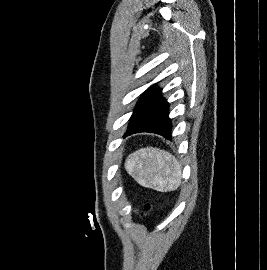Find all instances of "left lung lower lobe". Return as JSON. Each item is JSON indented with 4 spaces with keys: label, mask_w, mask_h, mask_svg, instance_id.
Here are the masks:
<instances>
[{
    "label": "left lung lower lobe",
    "mask_w": 267,
    "mask_h": 270,
    "mask_svg": "<svg viewBox=\"0 0 267 270\" xmlns=\"http://www.w3.org/2000/svg\"><path fill=\"white\" fill-rule=\"evenodd\" d=\"M139 132L155 133L167 139L172 137L169 104L162 95L144 112L137 122L126 131L125 136Z\"/></svg>",
    "instance_id": "obj_1"
}]
</instances>
